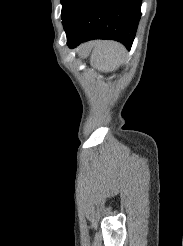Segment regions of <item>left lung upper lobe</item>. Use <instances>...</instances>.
I'll return each mask as SVG.
<instances>
[{
	"label": "left lung upper lobe",
	"mask_w": 183,
	"mask_h": 246,
	"mask_svg": "<svg viewBox=\"0 0 183 246\" xmlns=\"http://www.w3.org/2000/svg\"><path fill=\"white\" fill-rule=\"evenodd\" d=\"M72 1L73 0H61V4H62V12H61L62 20L65 18L66 13H67Z\"/></svg>",
	"instance_id": "left-lung-upper-lobe-1"
}]
</instances>
